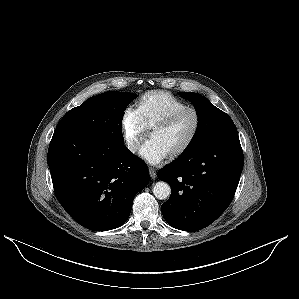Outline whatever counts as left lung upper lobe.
<instances>
[{"label": "left lung upper lobe", "mask_w": 299, "mask_h": 299, "mask_svg": "<svg viewBox=\"0 0 299 299\" xmlns=\"http://www.w3.org/2000/svg\"><path fill=\"white\" fill-rule=\"evenodd\" d=\"M179 95L192 102L198 115L197 130L183 153L200 149L215 136L231 127H236L232 119L206 97L194 92H179Z\"/></svg>", "instance_id": "1"}]
</instances>
